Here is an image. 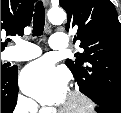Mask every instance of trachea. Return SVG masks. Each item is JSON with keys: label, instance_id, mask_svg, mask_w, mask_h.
Instances as JSON below:
<instances>
[{"label": "trachea", "instance_id": "3493384b", "mask_svg": "<svg viewBox=\"0 0 121 113\" xmlns=\"http://www.w3.org/2000/svg\"><path fill=\"white\" fill-rule=\"evenodd\" d=\"M45 25V10L43 3L40 1L35 6V13L33 19V35L41 36Z\"/></svg>", "mask_w": 121, "mask_h": 113}]
</instances>
